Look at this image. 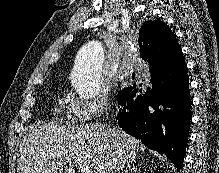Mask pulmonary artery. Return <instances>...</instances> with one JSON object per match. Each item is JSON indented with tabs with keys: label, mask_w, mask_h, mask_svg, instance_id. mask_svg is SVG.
Wrapping results in <instances>:
<instances>
[{
	"label": "pulmonary artery",
	"mask_w": 219,
	"mask_h": 173,
	"mask_svg": "<svg viewBox=\"0 0 219 173\" xmlns=\"http://www.w3.org/2000/svg\"><path fill=\"white\" fill-rule=\"evenodd\" d=\"M119 72H120V73H123V72H126V71H125V70H123V69H121V70H119Z\"/></svg>",
	"instance_id": "pulmonary-artery-1"
}]
</instances>
